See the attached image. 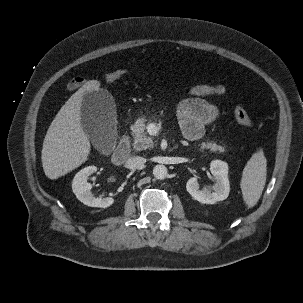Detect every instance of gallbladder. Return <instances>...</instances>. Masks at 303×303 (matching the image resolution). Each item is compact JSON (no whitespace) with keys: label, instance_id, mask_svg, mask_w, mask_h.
<instances>
[{"label":"gallbladder","instance_id":"bac80fb5","mask_svg":"<svg viewBox=\"0 0 303 303\" xmlns=\"http://www.w3.org/2000/svg\"><path fill=\"white\" fill-rule=\"evenodd\" d=\"M116 106L107 90L86 92L81 103V123L95 148L106 151L114 142Z\"/></svg>","mask_w":303,"mask_h":303}]
</instances>
